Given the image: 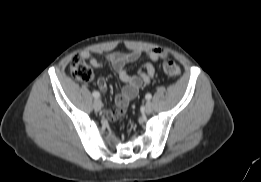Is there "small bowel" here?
I'll use <instances>...</instances> for the list:
<instances>
[{"mask_svg": "<svg viewBox=\"0 0 261 182\" xmlns=\"http://www.w3.org/2000/svg\"><path fill=\"white\" fill-rule=\"evenodd\" d=\"M142 54L149 60L139 69L137 75H131L127 71V65L136 62ZM81 56L88 60L95 68H101L103 62L98 60L91 52L84 51ZM167 57V52L162 48H152L144 53L141 51L121 52L116 51L104 55L105 61L112 65L123 82L121 92L115 98V110H106L105 117L111 121L121 118L127 111L129 102L135 98L139 89L144 84H149L155 75V68L152 62H158ZM98 86L102 92L107 90L106 81L103 78L98 80Z\"/></svg>", "mask_w": 261, "mask_h": 182, "instance_id": "c3829d8e", "label": "small bowel"}]
</instances>
